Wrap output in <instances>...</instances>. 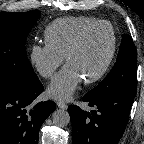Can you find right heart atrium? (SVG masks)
Instances as JSON below:
<instances>
[{"mask_svg":"<svg viewBox=\"0 0 144 144\" xmlns=\"http://www.w3.org/2000/svg\"><path fill=\"white\" fill-rule=\"evenodd\" d=\"M29 59L35 70L46 79H51L64 62V57L47 44H34L30 49Z\"/></svg>","mask_w":144,"mask_h":144,"instance_id":"d8ad5b80","label":"right heart atrium"}]
</instances>
